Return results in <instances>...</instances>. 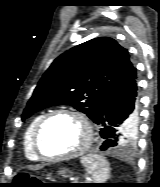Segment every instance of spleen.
Returning <instances> with one entry per match:
<instances>
[{"instance_id": "3e777b00", "label": "spleen", "mask_w": 160, "mask_h": 187, "mask_svg": "<svg viewBox=\"0 0 160 187\" xmlns=\"http://www.w3.org/2000/svg\"><path fill=\"white\" fill-rule=\"evenodd\" d=\"M81 162L95 183H104L109 178V164L104 157L90 154L82 157Z\"/></svg>"}]
</instances>
